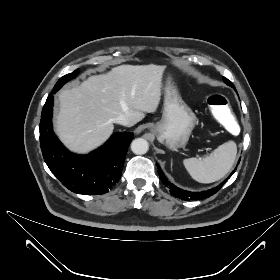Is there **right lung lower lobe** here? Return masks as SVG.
Listing matches in <instances>:
<instances>
[{"mask_svg":"<svg viewBox=\"0 0 280 280\" xmlns=\"http://www.w3.org/2000/svg\"><path fill=\"white\" fill-rule=\"evenodd\" d=\"M52 91L41 114L40 145L44 160L56 178L70 191L84 195L109 192L119 181L132 133L114 134L101 148L89 155L69 152L52 129Z\"/></svg>","mask_w":280,"mask_h":280,"instance_id":"obj_1","label":"right lung lower lobe"}]
</instances>
